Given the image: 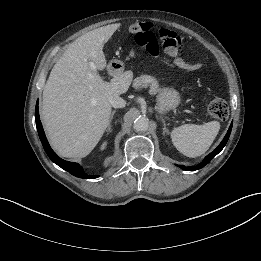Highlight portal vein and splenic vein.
I'll return each mask as SVG.
<instances>
[{
    "instance_id": "obj_1",
    "label": "portal vein and splenic vein",
    "mask_w": 261,
    "mask_h": 261,
    "mask_svg": "<svg viewBox=\"0 0 261 261\" xmlns=\"http://www.w3.org/2000/svg\"><path fill=\"white\" fill-rule=\"evenodd\" d=\"M89 66H90L91 70L96 71V66L93 62H89Z\"/></svg>"
}]
</instances>
